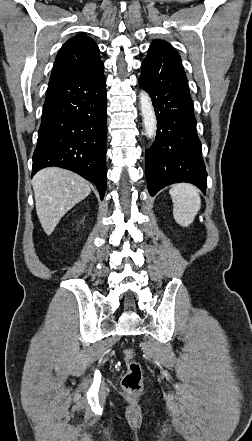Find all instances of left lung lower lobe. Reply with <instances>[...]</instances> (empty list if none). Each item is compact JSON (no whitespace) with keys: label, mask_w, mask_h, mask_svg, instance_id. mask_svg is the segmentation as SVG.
I'll return each instance as SVG.
<instances>
[{"label":"left lung lower lobe","mask_w":252,"mask_h":441,"mask_svg":"<svg viewBox=\"0 0 252 441\" xmlns=\"http://www.w3.org/2000/svg\"><path fill=\"white\" fill-rule=\"evenodd\" d=\"M139 85L153 102L157 135L146 151L145 175L153 196L167 185L189 182L205 193L207 172L193 101L181 58L164 41L152 44L141 65Z\"/></svg>","instance_id":"obj_1"}]
</instances>
